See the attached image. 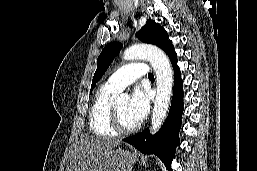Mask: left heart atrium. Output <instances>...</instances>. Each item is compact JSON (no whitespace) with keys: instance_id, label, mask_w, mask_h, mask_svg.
I'll return each mask as SVG.
<instances>
[{"instance_id":"39dd6f15","label":"left heart atrium","mask_w":257,"mask_h":171,"mask_svg":"<svg viewBox=\"0 0 257 171\" xmlns=\"http://www.w3.org/2000/svg\"><path fill=\"white\" fill-rule=\"evenodd\" d=\"M150 107V98L148 92L137 87L131 95L129 103V114L137 122H141L148 114Z\"/></svg>"}]
</instances>
